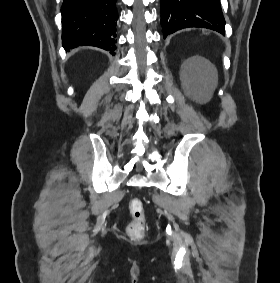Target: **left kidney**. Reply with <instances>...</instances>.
Segmentation results:
<instances>
[{
    "label": "left kidney",
    "instance_id": "obj_1",
    "mask_svg": "<svg viewBox=\"0 0 280 283\" xmlns=\"http://www.w3.org/2000/svg\"><path fill=\"white\" fill-rule=\"evenodd\" d=\"M199 62H201L202 64H200V66H204V65H206L207 64V62L204 60V59H202V58H191V59H189L188 61H187V64H197V63H199Z\"/></svg>",
    "mask_w": 280,
    "mask_h": 283
}]
</instances>
